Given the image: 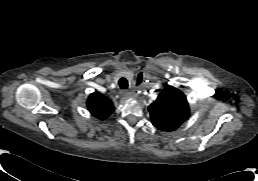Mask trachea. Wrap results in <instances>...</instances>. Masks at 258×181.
Segmentation results:
<instances>
[{"instance_id": "3493384b", "label": "trachea", "mask_w": 258, "mask_h": 181, "mask_svg": "<svg viewBox=\"0 0 258 181\" xmlns=\"http://www.w3.org/2000/svg\"><path fill=\"white\" fill-rule=\"evenodd\" d=\"M119 86H120V88H122V89L128 88V81L126 80V78H121V79L119 80Z\"/></svg>"}]
</instances>
